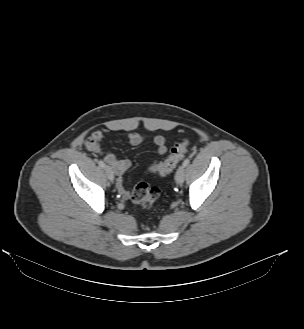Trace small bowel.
Here are the masks:
<instances>
[{
    "label": "small bowel",
    "mask_w": 304,
    "mask_h": 329,
    "mask_svg": "<svg viewBox=\"0 0 304 329\" xmlns=\"http://www.w3.org/2000/svg\"><path fill=\"white\" fill-rule=\"evenodd\" d=\"M104 133L100 130L94 131L85 141V147L90 152L100 155L103 160L113 169L116 174V187L118 192L123 198H128L129 193L124 186L123 173L131 166V161L128 159H119L110 152H104L102 149V141ZM127 141L132 145H139L143 141V137L136 133L131 132L127 135ZM153 143L157 148L160 155L167 153V145L163 136L157 135L153 138Z\"/></svg>",
    "instance_id": "1"
}]
</instances>
